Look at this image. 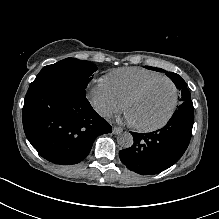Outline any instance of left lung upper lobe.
<instances>
[{"instance_id": "left-lung-upper-lobe-1", "label": "left lung upper lobe", "mask_w": 219, "mask_h": 219, "mask_svg": "<svg viewBox=\"0 0 219 219\" xmlns=\"http://www.w3.org/2000/svg\"><path fill=\"white\" fill-rule=\"evenodd\" d=\"M147 69L165 72L163 69L145 66ZM166 75L174 82L177 89L181 91V104L178 106V109L174 112L176 113H186L191 112L194 113L193 103L191 100V95L189 90L187 89V85L185 81L176 73L173 72H166Z\"/></svg>"}]
</instances>
